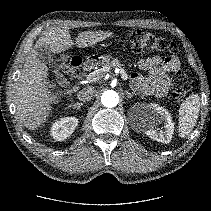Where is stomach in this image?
<instances>
[{"instance_id":"stomach-1","label":"stomach","mask_w":211,"mask_h":211,"mask_svg":"<svg viewBox=\"0 0 211 211\" xmlns=\"http://www.w3.org/2000/svg\"><path fill=\"white\" fill-rule=\"evenodd\" d=\"M110 58H112V54L108 53V54H105V55L99 56V57L93 56L91 59H88V60L92 63L99 65V64L107 63L110 60Z\"/></svg>"}]
</instances>
